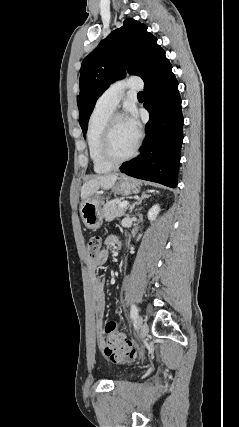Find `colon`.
<instances>
[{"mask_svg":"<svg viewBox=\"0 0 239 427\" xmlns=\"http://www.w3.org/2000/svg\"><path fill=\"white\" fill-rule=\"evenodd\" d=\"M102 238L100 236L91 237L86 243V252L89 258H94L100 251ZM106 346L104 353L113 362L120 363L126 359L136 356V350L125 341L123 334L117 331L114 321H109L105 326Z\"/></svg>","mask_w":239,"mask_h":427,"instance_id":"1","label":"colon"}]
</instances>
